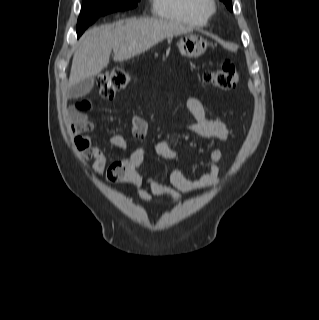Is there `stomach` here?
<instances>
[{"mask_svg": "<svg viewBox=\"0 0 319 320\" xmlns=\"http://www.w3.org/2000/svg\"><path fill=\"white\" fill-rule=\"evenodd\" d=\"M207 41L196 35H186L178 43L182 56L196 58L202 55L207 49Z\"/></svg>", "mask_w": 319, "mask_h": 320, "instance_id": "0dacf381", "label": "stomach"}]
</instances>
